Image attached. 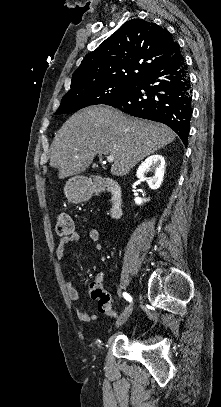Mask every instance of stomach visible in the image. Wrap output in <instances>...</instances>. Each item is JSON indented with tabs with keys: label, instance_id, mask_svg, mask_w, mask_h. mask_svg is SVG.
Wrapping results in <instances>:
<instances>
[{
	"label": "stomach",
	"instance_id": "stomach-1",
	"mask_svg": "<svg viewBox=\"0 0 221 407\" xmlns=\"http://www.w3.org/2000/svg\"><path fill=\"white\" fill-rule=\"evenodd\" d=\"M64 193L67 200L73 204L85 202L92 196V190L83 176L70 178L65 184Z\"/></svg>",
	"mask_w": 221,
	"mask_h": 407
}]
</instances>
